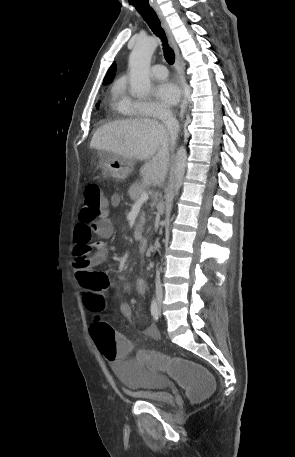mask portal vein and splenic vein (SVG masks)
Here are the masks:
<instances>
[{"label":"portal vein and splenic vein","mask_w":295,"mask_h":457,"mask_svg":"<svg viewBox=\"0 0 295 457\" xmlns=\"http://www.w3.org/2000/svg\"><path fill=\"white\" fill-rule=\"evenodd\" d=\"M149 199V195L146 192H143L137 202H145Z\"/></svg>","instance_id":"portal-vein-and-splenic-vein-1"}]
</instances>
